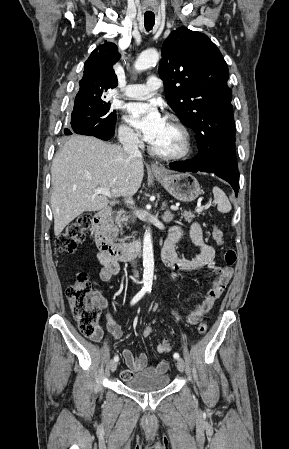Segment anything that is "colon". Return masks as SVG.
Wrapping results in <instances>:
<instances>
[{
	"label": "colon",
	"mask_w": 289,
	"mask_h": 449,
	"mask_svg": "<svg viewBox=\"0 0 289 449\" xmlns=\"http://www.w3.org/2000/svg\"><path fill=\"white\" fill-rule=\"evenodd\" d=\"M90 224L91 216L89 214H82L69 223L57 240V246L60 251L69 253L75 251L77 246L84 240ZM212 238L218 245L223 243V233L217 226L212 228ZM236 260V252L231 248L227 249L224 254L225 263L232 266ZM66 295L80 332L86 337H94L99 329L101 303L99 297L92 291L88 274L78 272L74 281L68 286ZM197 331L199 334H205L207 331L206 323H200ZM151 334L152 329L150 327H145L142 331V335L145 338ZM162 344H165L167 347L160 351L162 353L168 352L170 350L169 343L164 340Z\"/></svg>",
	"instance_id": "obj_1"
}]
</instances>
